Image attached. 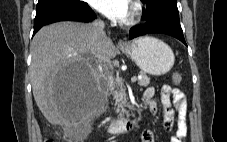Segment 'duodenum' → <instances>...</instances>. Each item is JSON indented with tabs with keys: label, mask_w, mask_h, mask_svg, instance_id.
Returning <instances> with one entry per match:
<instances>
[{
	"label": "duodenum",
	"mask_w": 227,
	"mask_h": 142,
	"mask_svg": "<svg viewBox=\"0 0 227 142\" xmlns=\"http://www.w3.org/2000/svg\"><path fill=\"white\" fill-rule=\"evenodd\" d=\"M137 124V118L123 117L112 120L107 129L111 134L130 133L135 130Z\"/></svg>",
	"instance_id": "410a0bca"
}]
</instances>
